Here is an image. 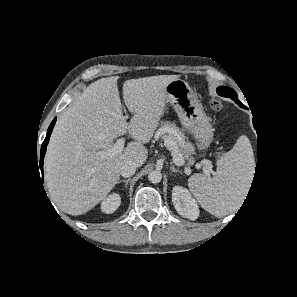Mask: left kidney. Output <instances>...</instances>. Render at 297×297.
Masks as SVG:
<instances>
[{
    "label": "left kidney",
    "instance_id": "5707ae66",
    "mask_svg": "<svg viewBox=\"0 0 297 297\" xmlns=\"http://www.w3.org/2000/svg\"><path fill=\"white\" fill-rule=\"evenodd\" d=\"M172 202L176 211L181 216L190 220H196L198 218V204L188 189L182 186H175L172 190Z\"/></svg>",
    "mask_w": 297,
    "mask_h": 297
}]
</instances>
